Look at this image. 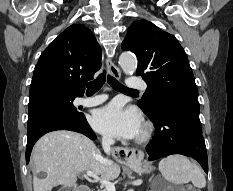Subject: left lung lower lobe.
<instances>
[{
  "mask_svg": "<svg viewBox=\"0 0 233 191\" xmlns=\"http://www.w3.org/2000/svg\"><path fill=\"white\" fill-rule=\"evenodd\" d=\"M147 116L156 128V134L146 148L150 161L182 154L197 160L208 173L199 106L182 101H163L155 105Z\"/></svg>",
  "mask_w": 233,
  "mask_h": 191,
  "instance_id": "0a47b994",
  "label": "left lung lower lobe"
}]
</instances>
